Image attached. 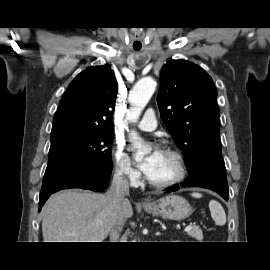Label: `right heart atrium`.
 Returning a JSON list of instances; mask_svg holds the SVG:
<instances>
[{"mask_svg": "<svg viewBox=\"0 0 270 270\" xmlns=\"http://www.w3.org/2000/svg\"><path fill=\"white\" fill-rule=\"evenodd\" d=\"M115 174L131 183H136L140 177L139 172L133 167L132 162L122 145H116L113 150Z\"/></svg>", "mask_w": 270, "mask_h": 270, "instance_id": "right-heart-atrium-1", "label": "right heart atrium"}]
</instances>
